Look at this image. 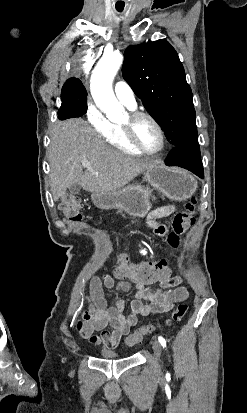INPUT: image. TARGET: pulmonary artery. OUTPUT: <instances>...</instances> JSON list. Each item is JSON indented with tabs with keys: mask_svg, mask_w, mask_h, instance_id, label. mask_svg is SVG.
<instances>
[{
	"mask_svg": "<svg viewBox=\"0 0 247 413\" xmlns=\"http://www.w3.org/2000/svg\"><path fill=\"white\" fill-rule=\"evenodd\" d=\"M114 91L117 98L129 108L136 106L135 93L132 86L125 80H118L114 84Z\"/></svg>",
	"mask_w": 247,
	"mask_h": 413,
	"instance_id": "obj_1",
	"label": "pulmonary artery"
}]
</instances>
